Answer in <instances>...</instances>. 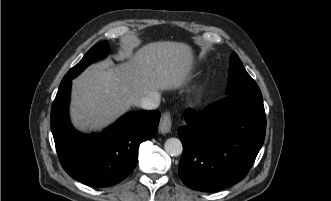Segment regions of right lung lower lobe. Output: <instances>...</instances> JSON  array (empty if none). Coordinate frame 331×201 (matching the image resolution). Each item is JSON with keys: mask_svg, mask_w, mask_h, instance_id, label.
<instances>
[{"mask_svg": "<svg viewBox=\"0 0 331 201\" xmlns=\"http://www.w3.org/2000/svg\"><path fill=\"white\" fill-rule=\"evenodd\" d=\"M70 88L71 80L60 84L51 110L52 133L63 168L93 187L119 183L136 166L140 143L156 133L160 112H130L101 133L82 135L69 121Z\"/></svg>", "mask_w": 331, "mask_h": 201, "instance_id": "obj_1", "label": "right lung lower lobe"}]
</instances>
